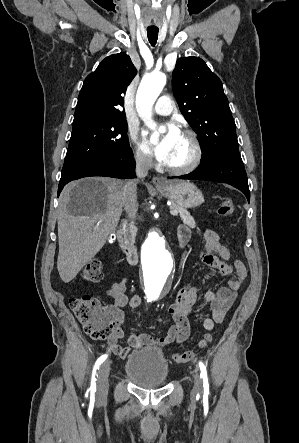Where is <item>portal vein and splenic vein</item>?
<instances>
[{"label":"portal vein and splenic vein","instance_id":"obj_1","mask_svg":"<svg viewBox=\"0 0 299 443\" xmlns=\"http://www.w3.org/2000/svg\"><path fill=\"white\" fill-rule=\"evenodd\" d=\"M170 214L171 215H173V216H177L178 215V212L176 211V210H170ZM100 224V222L97 224V226Z\"/></svg>","mask_w":299,"mask_h":443}]
</instances>
